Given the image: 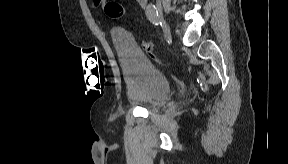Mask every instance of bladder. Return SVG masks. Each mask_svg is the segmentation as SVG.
Listing matches in <instances>:
<instances>
[{
    "instance_id": "31cf9c89",
    "label": "bladder",
    "mask_w": 288,
    "mask_h": 164,
    "mask_svg": "<svg viewBox=\"0 0 288 164\" xmlns=\"http://www.w3.org/2000/svg\"><path fill=\"white\" fill-rule=\"evenodd\" d=\"M114 42L126 77L129 99L148 111L165 106L171 98V85L164 71L147 61L124 35H115Z\"/></svg>"
}]
</instances>
